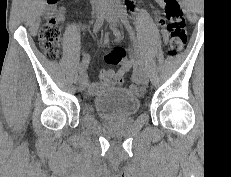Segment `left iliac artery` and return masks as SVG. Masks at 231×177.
I'll return each mask as SVG.
<instances>
[{"label": "left iliac artery", "instance_id": "44dca946", "mask_svg": "<svg viewBox=\"0 0 231 177\" xmlns=\"http://www.w3.org/2000/svg\"><path fill=\"white\" fill-rule=\"evenodd\" d=\"M114 7H115L116 11L118 12V15H119L122 23L126 26L127 30L129 31L132 40L134 41L133 42L134 46L132 47V50H133L134 58H135V60H137L139 70L145 71L146 67H145L144 58H142V55L140 53V48L137 46L138 42L135 39V33H134V31H133V29H132V27L128 21L126 10L123 8V5L119 2H115Z\"/></svg>", "mask_w": 231, "mask_h": 177}]
</instances>
